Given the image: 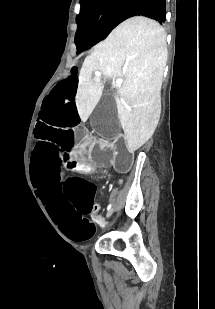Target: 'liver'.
Wrapping results in <instances>:
<instances>
[{
  "mask_svg": "<svg viewBox=\"0 0 215 309\" xmlns=\"http://www.w3.org/2000/svg\"><path fill=\"white\" fill-rule=\"evenodd\" d=\"M166 60V32L159 22L131 16L118 24L105 40L95 44L82 64L75 96L81 120L86 122L103 92L94 70H100L105 78H123L115 96L118 116L129 152L140 148L158 124L160 110L155 102Z\"/></svg>",
  "mask_w": 215,
  "mask_h": 309,
  "instance_id": "obj_1",
  "label": "liver"
}]
</instances>
